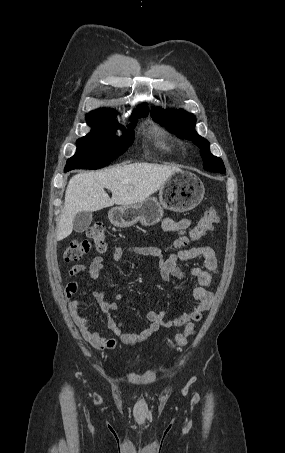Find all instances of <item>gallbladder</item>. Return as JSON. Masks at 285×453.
I'll list each match as a JSON object with an SVG mask.
<instances>
[{"mask_svg":"<svg viewBox=\"0 0 285 453\" xmlns=\"http://www.w3.org/2000/svg\"><path fill=\"white\" fill-rule=\"evenodd\" d=\"M92 222V213L87 211L79 212L73 220V229L77 233H82L88 229Z\"/></svg>","mask_w":285,"mask_h":453,"instance_id":"gallbladder-1","label":"gallbladder"}]
</instances>
